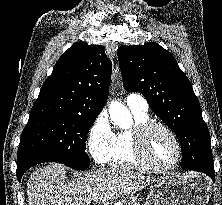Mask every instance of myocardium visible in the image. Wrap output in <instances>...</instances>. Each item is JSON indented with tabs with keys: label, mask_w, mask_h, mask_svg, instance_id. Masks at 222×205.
Wrapping results in <instances>:
<instances>
[{
	"label": "myocardium",
	"mask_w": 222,
	"mask_h": 205,
	"mask_svg": "<svg viewBox=\"0 0 222 205\" xmlns=\"http://www.w3.org/2000/svg\"><path fill=\"white\" fill-rule=\"evenodd\" d=\"M159 128L164 130L173 140L175 147H176V158L175 160L167 166H162L157 164L152 158L149 156L147 149H146V137L148 133L155 129ZM134 146L137 156L148 166L152 169L160 172H167L175 169L182 158V147L181 143L175 134V132L165 123L153 120H147L136 126L134 129Z\"/></svg>",
	"instance_id": "1"
}]
</instances>
